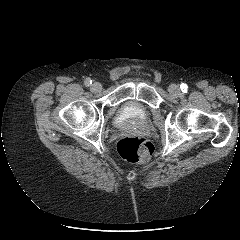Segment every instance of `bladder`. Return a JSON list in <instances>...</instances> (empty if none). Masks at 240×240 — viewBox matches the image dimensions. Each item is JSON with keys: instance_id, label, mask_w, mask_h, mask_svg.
Segmentation results:
<instances>
[{"instance_id": "obj_1", "label": "bladder", "mask_w": 240, "mask_h": 240, "mask_svg": "<svg viewBox=\"0 0 240 240\" xmlns=\"http://www.w3.org/2000/svg\"><path fill=\"white\" fill-rule=\"evenodd\" d=\"M147 118L148 113L144 108L134 103H128L119 110L116 123L119 125L140 124L144 123Z\"/></svg>"}]
</instances>
